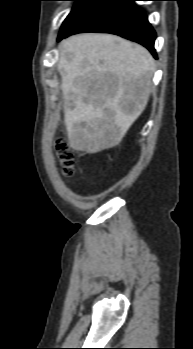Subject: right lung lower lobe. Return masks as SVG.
<instances>
[{
  "label": "right lung lower lobe",
  "instance_id": "right-lung-lower-lobe-1",
  "mask_svg": "<svg viewBox=\"0 0 193 349\" xmlns=\"http://www.w3.org/2000/svg\"><path fill=\"white\" fill-rule=\"evenodd\" d=\"M135 1L104 0L60 34L58 40L80 32L112 33L142 44L157 58L154 49L155 31Z\"/></svg>",
  "mask_w": 193,
  "mask_h": 349
}]
</instances>
